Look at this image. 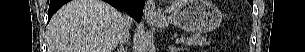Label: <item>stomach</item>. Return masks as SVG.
Masks as SVG:
<instances>
[{
  "label": "stomach",
  "instance_id": "stomach-1",
  "mask_svg": "<svg viewBox=\"0 0 305 52\" xmlns=\"http://www.w3.org/2000/svg\"><path fill=\"white\" fill-rule=\"evenodd\" d=\"M221 11L209 0H183L169 17L154 22L159 28L170 23L180 29L194 32H209L220 26Z\"/></svg>",
  "mask_w": 305,
  "mask_h": 52
}]
</instances>
